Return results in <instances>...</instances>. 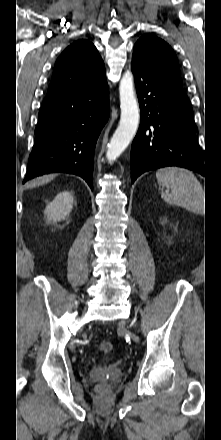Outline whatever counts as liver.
Instances as JSON below:
<instances>
[{"instance_id":"6515ba94","label":"liver","mask_w":221,"mask_h":440,"mask_svg":"<svg viewBox=\"0 0 221 440\" xmlns=\"http://www.w3.org/2000/svg\"><path fill=\"white\" fill-rule=\"evenodd\" d=\"M55 177V175H46L43 177H39L37 179H34L33 181H31L27 187L28 188H32V187H36L39 185H43L45 183H48L49 181H51L53 178Z\"/></svg>"}]
</instances>
